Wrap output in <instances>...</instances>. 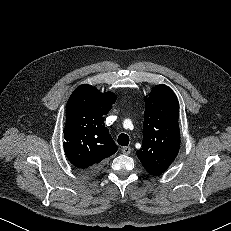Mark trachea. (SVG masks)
Segmentation results:
<instances>
[{
  "instance_id": "1",
  "label": "trachea",
  "mask_w": 231,
  "mask_h": 231,
  "mask_svg": "<svg viewBox=\"0 0 231 231\" xmlns=\"http://www.w3.org/2000/svg\"><path fill=\"white\" fill-rule=\"evenodd\" d=\"M118 144L121 146H127L129 144V136L127 134H120L117 140Z\"/></svg>"
}]
</instances>
